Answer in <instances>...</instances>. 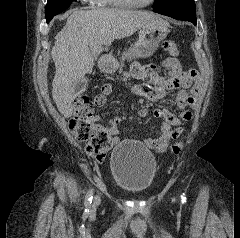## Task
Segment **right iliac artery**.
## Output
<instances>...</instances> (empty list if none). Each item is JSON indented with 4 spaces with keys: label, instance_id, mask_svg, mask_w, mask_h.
<instances>
[{
    "label": "right iliac artery",
    "instance_id": "82829eb1",
    "mask_svg": "<svg viewBox=\"0 0 240 238\" xmlns=\"http://www.w3.org/2000/svg\"><path fill=\"white\" fill-rule=\"evenodd\" d=\"M93 195V189H90L87 194H86V197H85V206L87 208H89V206L91 205V202H92V196ZM89 210L86 209L85 210V213H87Z\"/></svg>",
    "mask_w": 240,
    "mask_h": 238
}]
</instances>
